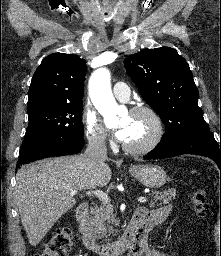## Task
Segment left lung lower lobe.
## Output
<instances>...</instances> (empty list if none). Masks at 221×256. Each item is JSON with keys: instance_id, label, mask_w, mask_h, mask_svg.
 <instances>
[{"instance_id": "0a47b994", "label": "left lung lower lobe", "mask_w": 221, "mask_h": 256, "mask_svg": "<svg viewBox=\"0 0 221 256\" xmlns=\"http://www.w3.org/2000/svg\"><path fill=\"white\" fill-rule=\"evenodd\" d=\"M181 154H197L216 162L221 170V141L216 142L212 132L199 131L178 135L175 139L162 140L145 159H163Z\"/></svg>"}]
</instances>
